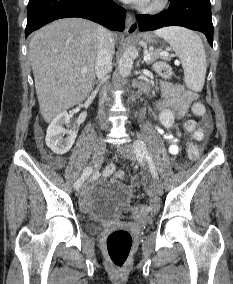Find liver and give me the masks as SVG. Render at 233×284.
<instances>
[{"instance_id":"liver-1","label":"liver","mask_w":233,"mask_h":284,"mask_svg":"<svg viewBox=\"0 0 233 284\" xmlns=\"http://www.w3.org/2000/svg\"><path fill=\"white\" fill-rule=\"evenodd\" d=\"M97 28L92 21L65 18L33 34L29 58L40 112L47 123L82 102L92 91ZM82 69L87 71L82 73Z\"/></svg>"}]
</instances>
